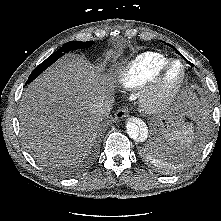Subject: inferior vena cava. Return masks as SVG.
I'll return each instance as SVG.
<instances>
[{"instance_id": "1", "label": "inferior vena cava", "mask_w": 221, "mask_h": 221, "mask_svg": "<svg viewBox=\"0 0 221 221\" xmlns=\"http://www.w3.org/2000/svg\"><path fill=\"white\" fill-rule=\"evenodd\" d=\"M113 103H114V100L112 97H106L99 103L98 110L102 114V119H103L104 114H106L108 111L111 110Z\"/></svg>"}]
</instances>
